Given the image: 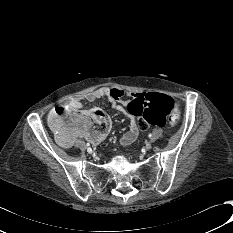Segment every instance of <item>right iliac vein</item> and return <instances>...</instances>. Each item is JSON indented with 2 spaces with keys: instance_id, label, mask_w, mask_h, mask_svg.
<instances>
[{
  "instance_id": "1",
  "label": "right iliac vein",
  "mask_w": 233,
  "mask_h": 233,
  "mask_svg": "<svg viewBox=\"0 0 233 233\" xmlns=\"http://www.w3.org/2000/svg\"><path fill=\"white\" fill-rule=\"evenodd\" d=\"M87 152L90 154L92 153L91 149H89V148H87Z\"/></svg>"
}]
</instances>
